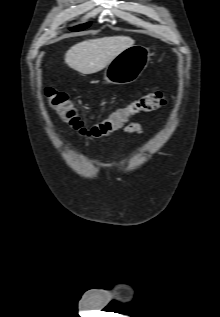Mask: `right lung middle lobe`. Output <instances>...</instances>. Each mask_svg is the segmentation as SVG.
I'll list each match as a JSON object with an SVG mask.
<instances>
[{
	"label": "right lung middle lobe",
	"instance_id": "obj_1",
	"mask_svg": "<svg viewBox=\"0 0 220 317\" xmlns=\"http://www.w3.org/2000/svg\"><path fill=\"white\" fill-rule=\"evenodd\" d=\"M90 23H86V24H82V25H78L76 27L71 28V31H81L86 29L87 27H89Z\"/></svg>",
	"mask_w": 220,
	"mask_h": 317
}]
</instances>
